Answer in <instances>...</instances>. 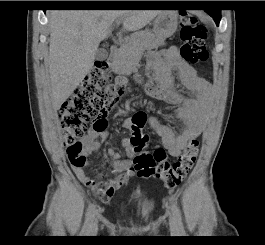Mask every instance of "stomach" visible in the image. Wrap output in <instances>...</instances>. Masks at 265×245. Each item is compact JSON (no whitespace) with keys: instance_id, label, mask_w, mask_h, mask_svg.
Listing matches in <instances>:
<instances>
[{"instance_id":"0dacf381","label":"stomach","mask_w":265,"mask_h":245,"mask_svg":"<svg viewBox=\"0 0 265 245\" xmlns=\"http://www.w3.org/2000/svg\"><path fill=\"white\" fill-rule=\"evenodd\" d=\"M178 26V14L176 11H165L158 15L153 22L155 36L167 38L172 36Z\"/></svg>"}]
</instances>
